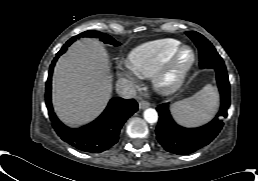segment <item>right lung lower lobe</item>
Instances as JSON below:
<instances>
[{"instance_id": "right-lung-lower-lobe-1", "label": "right lung lower lobe", "mask_w": 258, "mask_h": 181, "mask_svg": "<svg viewBox=\"0 0 258 181\" xmlns=\"http://www.w3.org/2000/svg\"><path fill=\"white\" fill-rule=\"evenodd\" d=\"M70 46V45H69ZM64 45L50 66L46 82L45 100L52 125L61 139L74 148L93 153H101L111 148L119 138L125 121L138 109L134 99L112 98L105 111L92 123L78 129L65 126L56 117L51 103V81L54 65L60 55L69 47Z\"/></svg>"}]
</instances>
